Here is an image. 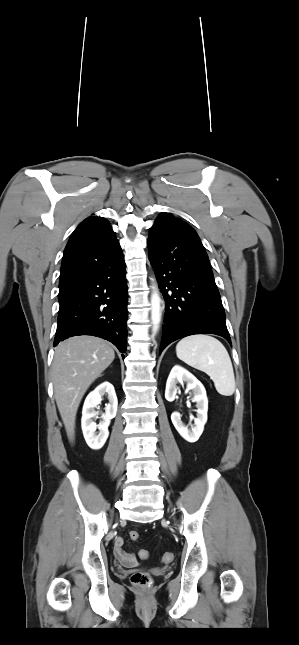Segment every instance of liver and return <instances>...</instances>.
Instances as JSON below:
<instances>
[{
  "mask_svg": "<svg viewBox=\"0 0 299 645\" xmlns=\"http://www.w3.org/2000/svg\"><path fill=\"white\" fill-rule=\"evenodd\" d=\"M114 358L110 343L94 336H75L55 348L52 364L54 395L71 442L74 441L76 413L83 395Z\"/></svg>",
  "mask_w": 299,
  "mask_h": 645,
  "instance_id": "6515ba94",
  "label": "liver"
}]
</instances>
